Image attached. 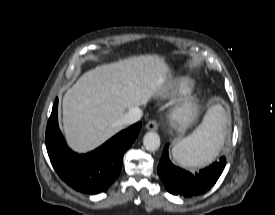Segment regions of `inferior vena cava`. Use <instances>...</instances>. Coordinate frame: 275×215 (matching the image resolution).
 <instances>
[{
    "label": "inferior vena cava",
    "instance_id": "1",
    "mask_svg": "<svg viewBox=\"0 0 275 215\" xmlns=\"http://www.w3.org/2000/svg\"><path fill=\"white\" fill-rule=\"evenodd\" d=\"M142 117V111L138 107L128 110L121 118L117 120L118 125H131L138 122Z\"/></svg>",
    "mask_w": 275,
    "mask_h": 215
}]
</instances>
